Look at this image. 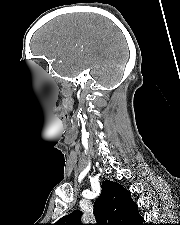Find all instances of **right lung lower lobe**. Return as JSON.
I'll return each instance as SVG.
<instances>
[{
	"label": "right lung lower lobe",
	"instance_id": "obj_1",
	"mask_svg": "<svg viewBox=\"0 0 180 225\" xmlns=\"http://www.w3.org/2000/svg\"><path fill=\"white\" fill-rule=\"evenodd\" d=\"M143 222H144V219L141 217L139 222L137 224H135V225H146Z\"/></svg>",
	"mask_w": 180,
	"mask_h": 225
}]
</instances>
